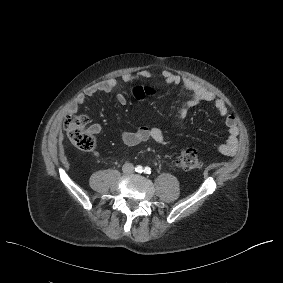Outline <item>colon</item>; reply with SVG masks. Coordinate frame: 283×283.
<instances>
[{
    "label": "colon",
    "mask_w": 283,
    "mask_h": 283,
    "mask_svg": "<svg viewBox=\"0 0 283 283\" xmlns=\"http://www.w3.org/2000/svg\"><path fill=\"white\" fill-rule=\"evenodd\" d=\"M153 90L149 87H136L133 94L138 99L152 95ZM87 119L84 115L68 113L64 120V127L71 142L83 151H90L95 146L92 134L86 129ZM176 165L182 170H195L202 166V161L194 149H184L176 157Z\"/></svg>",
    "instance_id": "obj_1"
}]
</instances>
